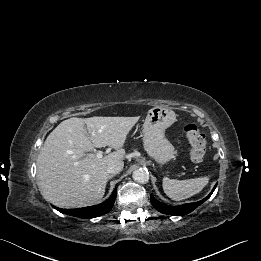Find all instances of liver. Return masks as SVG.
I'll return each instance as SVG.
<instances>
[{"mask_svg":"<svg viewBox=\"0 0 261 261\" xmlns=\"http://www.w3.org/2000/svg\"><path fill=\"white\" fill-rule=\"evenodd\" d=\"M139 117L69 118L46 138L37 158L38 186L42 196L61 208L98 203L110 179L107 167L124 165L127 135ZM89 137L86 135L87 130ZM110 146L105 157L87 152Z\"/></svg>","mask_w":261,"mask_h":261,"instance_id":"1","label":"liver"}]
</instances>
